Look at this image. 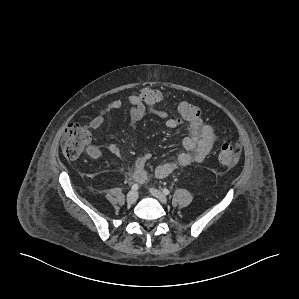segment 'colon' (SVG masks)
<instances>
[{"instance_id":"1","label":"colon","mask_w":299,"mask_h":299,"mask_svg":"<svg viewBox=\"0 0 299 299\" xmlns=\"http://www.w3.org/2000/svg\"><path fill=\"white\" fill-rule=\"evenodd\" d=\"M139 95L146 108L152 110L160 109L162 103L160 91L146 87L139 92ZM172 117L178 124H188L200 118V110L194 104L183 101L176 106ZM91 139L92 133L88 126L78 123L70 124L62 140L64 156L68 159H76L89 147ZM240 155L241 152L238 147L232 143L225 142L220 148L218 159L222 165L232 167L239 162Z\"/></svg>"}]
</instances>
